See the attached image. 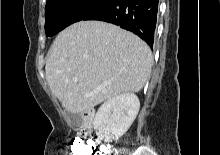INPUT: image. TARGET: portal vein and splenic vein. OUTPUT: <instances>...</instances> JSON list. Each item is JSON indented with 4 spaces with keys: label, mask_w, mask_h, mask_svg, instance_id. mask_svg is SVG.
I'll return each instance as SVG.
<instances>
[{
    "label": "portal vein and splenic vein",
    "mask_w": 220,
    "mask_h": 155,
    "mask_svg": "<svg viewBox=\"0 0 220 155\" xmlns=\"http://www.w3.org/2000/svg\"><path fill=\"white\" fill-rule=\"evenodd\" d=\"M73 81H74L75 83H77V82H78V79H77V78H74ZM85 96H87V97H88V96H92V94H86Z\"/></svg>",
    "instance_id": "18ae733b"
}]
</instances>
